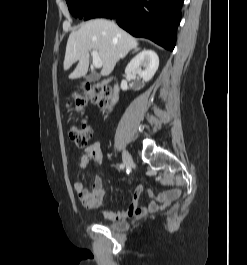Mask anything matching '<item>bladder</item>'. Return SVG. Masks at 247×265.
<instances>
[{"label": "bladder", "instance_id": "1", "mask_svg": "<svg viewBox=\"0 0 247 265\" xmlns=\"http://www.w3.org/2000/svg\"><path fill=\"white\" fill-rule=\"evenodd\" d=\"M108 227L114 230L123 231L128 228V223L125 221H116L108 224Z\"/></svg>", "mask_w": 247, "mask_h": 265}]
</instances>
